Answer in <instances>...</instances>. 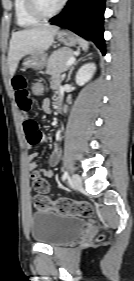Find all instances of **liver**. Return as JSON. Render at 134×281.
Returning <instances> with one entry per match:
<instances>
[{
	"instance_id": "6515ba94",
	"label": "liver",
	"mask_w": 134,
	"mask_h": 281,
	"mask_svg": "<svg viewBox=\"0 0 134 281\" xmlns=\"http://www.w3.org/2000/svg\"><path fill=\"white\" fill-rule=\"evenodd\" d=\"M59 27L38 25L12 34L8 52V66L13 76L20 59L29 54L44 53L54 41Z\"/></svg>"
}]
</instances>
